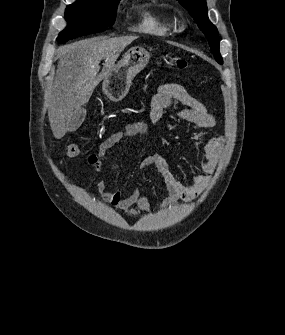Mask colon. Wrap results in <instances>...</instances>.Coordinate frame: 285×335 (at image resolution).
Here are the masks:
<instances>
[{"mask_svg": "<svg viewBox=\"0 0 285 335\" xmlns=\"http://www.w3.org/2000/svg\"><path fill=\"white\" fill-rule=\"evenodd\" d=\"M164 60L169 67L176 70H183L187 67V61L184 58L172 54H166L164 56ZM79 151H80V144L77 142H73L69 144L67 147V154L69 157L77 156Z\"/></svg>", "mask_w": 285, "mask_h": 335, "instance_id": "5ec220e1", "label": "colon"}]
</instances>
